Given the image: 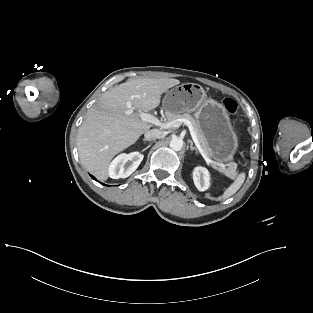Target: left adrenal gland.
<instances>
[{
	"instance_id": "left-adrenal-gland-1",
	"label": "left adrenal gland",
	"mask_w": 313,
	"mask_h": 313,
	"mask_svg": "<svg viewBox=\"0 0 313 313\" xmlns=\"http://www.w3.org/2000/svg\"><path fill=\"white\" fill-rule=\"evenodd\" d=\"M190 150H191V151L195 150L196 153H198L197 148H196L195 146H193V143H192V142H191V144H190Z\"/></svg>"
}]
</instances>
